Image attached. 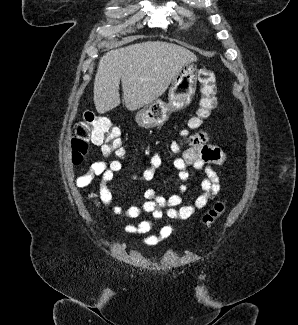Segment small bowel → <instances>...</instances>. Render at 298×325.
Instances as JSON below:
<instances>
[{"instance_id": "c3829d8e", "label": "small bowel", "mask_w": 298, "mask_h": 325, "mask_svg": "<svg viewBox=\"0 0 298 325\" xmlns=\"http://www.w3.org/2000/svg\"><path fill=\"white\" fill-rule=\"evenodd\" d=\"M181 143L184 146V150L173 161V166L178 171L179 178L184 182L180 186V194L165 197L157 194L153 189H147L144 192L145 201L142 205L130 206L125 210L120 206H113L114 214L130 219L138 218L142 213L151 214L155 220H159L164 216L171 219H187L196 210L204 208L219 193L222 180L212 166L222 165L225 162L226 155L224 151L220 147L209 143V135L205 131L187 136L183 138ZM161 165V154L159 152L153 153L150 156V167L141 173L133 174L132 180L135 182L152 180L156 169ZM190 167L204 175L201 181L203 193L196 198L193 205H182V194L187 190L185 182L190 177ZM121 168L122 165L118 160L103 159L96 161L85 173L76 178L75 184L78 188H86L92 183L94 178H102L99 191L90 194V198L98 200V209L100 210L102 206L111 204L112 192L106 184L114 179L115 174ZM152 228V221L143 220L138 224L126 225L124 231L128 234L140 235L141 243L146 246L157 245L173 232L171 225L163 226L158 234H150ZM105 243L107 242L105 241Z\"/></svg>"}]
</instances>
